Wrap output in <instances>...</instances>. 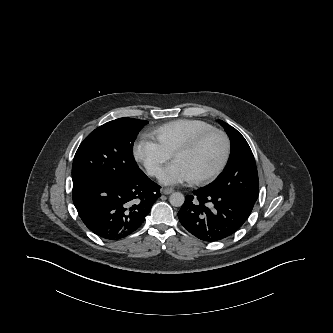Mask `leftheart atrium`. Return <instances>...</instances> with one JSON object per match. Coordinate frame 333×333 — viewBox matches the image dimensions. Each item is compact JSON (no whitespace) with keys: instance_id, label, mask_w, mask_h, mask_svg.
Masks as SVG:
<instances>
[{"instance_id":"left-heart-atrium-1","label":"left heart atrium","mask_w":333,"mask_h":333,"mask_svg":"<svg viewBox=\"0 0 333 333\" xmlns=\"http://www.w3.org/2000/svg\"><path fill=\"white\" fill-rule=\"evenodd\" d=\"M193 178L190 173L178 162H173L168 166L161 176V182L164 184H179L189 182Z\"/></svg>"}]
</instances>
